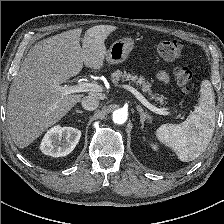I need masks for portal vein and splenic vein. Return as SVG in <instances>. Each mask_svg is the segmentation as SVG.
<instances>
[{"instance_id":"1","label":"portal vein and splenic vein","mask_w":224,"mask_h":224,"mask_svg":"<svg viewBox=\"0 0 224 224\" xmlns=\"http://www.w3.org/2000/svg\"><path fill=\"white\" fill-rule=\"evenodd\" d=\"M85 79H79L78 85L74 86H60V85H54V87L62 92L65 95L76 93V92H95L99 90V86L96 84H91L84 82ZM122 87L128 91H130L132 94L135 95V97L149 110L152 112H155L159 115H171L172 112H170L167 108H158L154 105H152L140 92H138L135 88L131 87L130 85H122Z\"/></svg>"}]
</instances>
